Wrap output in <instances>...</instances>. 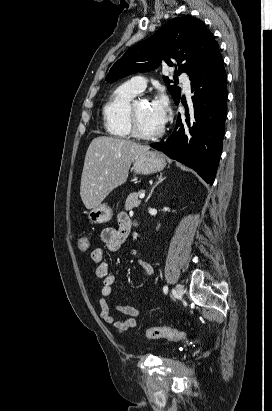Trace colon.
Masks as SVG:
<instances>
[{"mask_svg":"<svg viewBox=\"0 0 272 411\" xmlns=\"http://www.w3.org/2000/svg\"><path fill=\"white\" fill-rule=\"evenodd\" d=\"M78 246L81 251H86L90 246L89 239L81 237L78 241ZM145 335L151 339H168L171 341H183L187 339V334L184 331L170 327H149L145 330Z\"/></svg>","mask_w":272,"mask_h":411,"instance_id":"1","label":"colon"}]
</instances>
